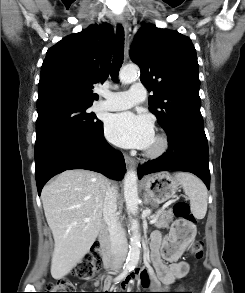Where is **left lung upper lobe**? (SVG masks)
<instances>
[{
  "mask_svg": "<svg viewBox=\"0 0 245 293\" xmlns=\"http://www.w3.org/2000/svg\"><path fill=\"white\" fill-rule=\"evenodd\" d=\"M130 57L153 92L149 109L165 131L178 124L204 127L200 112L196 50L190 38L152 24L135 34Z\"/></svg>",
  "mask_w": 245,
  "mask_h": 293,
  "instance_id": "left-lung-upper-lobe-1",
  "label": "left lung upper lobe"
}]
</instances>
